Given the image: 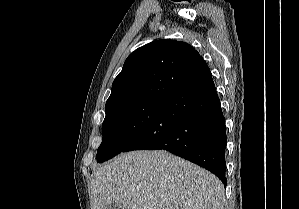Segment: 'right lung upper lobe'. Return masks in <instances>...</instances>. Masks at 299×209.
<instances>
[{
	"instance_id": "obj_1",
	"label": "right lung upper lobe",
	"mask_w": 299,
	"mask_h": 209,
	"mask_svg": "<svg viewBox=\"0 0 299 209\" xmlns=\"http://www.w3.org/2000/svg\"><path fill=\"white\" fill-rule=\"evenodd\" d=\"M209 70L202 56L185 42H151L126 59L112 84L106 110L143 101L164 102L189 79Z\"/></svg>"
}]
</instances>
